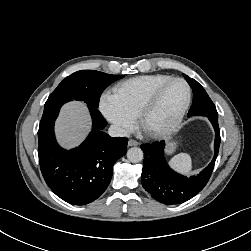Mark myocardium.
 Masks as SVG:
<instances>
[{
	"instance_id": "1",
	"label": "myocardium",
	"mask_w": 251,
	"mask_h": 251,
	"mask_svg": "<svg viewBox=\"0 0 251 251\" xmlns=\"http://www.w3.org/2000/svg\"><path fill=\"white\" fill-rule=\"evenodd\" d=\"M182 82L186 89H187V98L185 101L184 106L182 107V109L180 110V112L178 113V115L165 127L157 129V130H150L146 127V119L148 117V115L150 114V112L154 109V107L156 106L158 99L161 95V93L163 92V90L170 85L173 82ZM191 100H192V89L190 84L181 77H172L170 79H168L167 81L163 82L162 84H160L151 94L150 96L147 98V100L145 101V103L143 104V106L141 107L139 113H138V120H139V126L140 128L144 131L145 134H147L150 137H154V138H158V137H162L165 135L170 134L172 131H174L182 122L183 118L185 117L190 104H191Z\"/></svg>"
}]
</instances>
